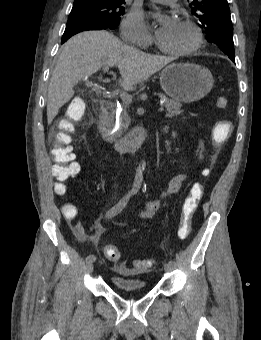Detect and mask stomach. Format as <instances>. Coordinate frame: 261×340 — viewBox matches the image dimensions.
Segmentation results:
<instances>
[{
	"label": "stomach",
	"mask_w": 261,
	"mask_h": 340,
	"mask_svg": "<svg viewBox=\"0 0 261 340\" xmlns=\"http://www.w3.org/2000/svg\"><path fill=\"white\" fill-rule=\"evenodd\" d=\"M211 72L193 63H175L160 73V85L172 100L193 103L203 99L213 88Z\"/></svg>",
	"instance_id": "0dacf381"
}]
</instances>
